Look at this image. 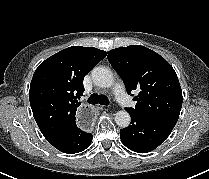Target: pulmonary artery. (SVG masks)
<instances>
[{
  "label": "pulmonary artery",
  "mask_w": 209,
  "mask_h": 179,
  "mask_svg": "<svg viewBox=\"0 0 209 179\" xmlns=\"http://www.w3.org/2000/svg\"><path fill=\"white\" fill-rule=\"evenodd\" d=\"M114 94L116 100L124 107H130L132 105V101L130 97L125 92V89L121 83H117L114 87Z\"/></svg>",
  "instance_id": "e3ab8cb5"
}]
</instances>
